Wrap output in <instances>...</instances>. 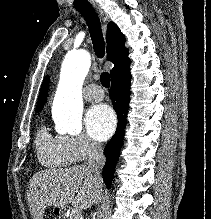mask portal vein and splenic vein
I'll return each instance as SVG.
<instances>
[{
  "mask_svg": "<svg viewBox=\"0 0 211 219\" xmlns=\"http://www.w3.org/2000/svg\"><path fill=\"white\" fill-rule=\"evenodd\" d=\"M71 215L74 216L75 219H78V217H79V212H78V210H73L72 213H71Z\"/></svg>",
  "mask_w": 211,
  "mask_h": 219,
  "instance_id": "18ae733b",
  "label": "portal vein and splenic vein"
}]
</instances>
